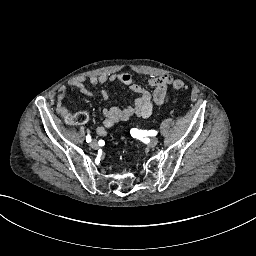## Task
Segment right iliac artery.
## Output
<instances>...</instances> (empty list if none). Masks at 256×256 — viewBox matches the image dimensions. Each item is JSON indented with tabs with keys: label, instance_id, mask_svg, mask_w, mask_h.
<instances>
[{
	"label": "right iliac artery",
	"instance_id": "82829eb1",
	"mask_svg": "<svg viewBox=\"0 0 256 256\" xmlns=\"http://www.w3.org/2000/svg\"><path fill=\"white\" fill-rule=\"evenodd\" d=\"M86 141L89 143V142H91V136L90 135H87L86 136Z\"/></svg>",
	"mask_w": 256,
	"mask_h": 256
}]
</instances>
